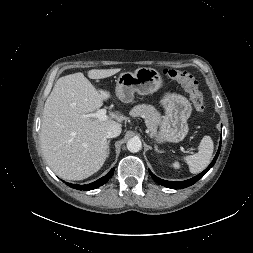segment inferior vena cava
Returning <instances> with one entry per match:
<instances>
[{"label":"inferior vena cava","instance_id":"1","mask_svg":"<svg viewBox=\"0 0 253 253\" xmlns=\"http://www.w3.org/2000/svg\"><path fill=\"white\" fill-rule=\"evenodd\" d=\"M121 133V127L118 124H114L112 126H110L109 128H107L106 130V138H114L119 136Z\"/></svg>","mask_w":253,"mask_h":253}]
</instances>
